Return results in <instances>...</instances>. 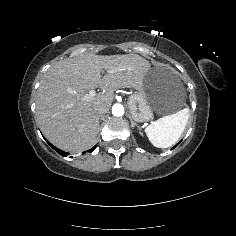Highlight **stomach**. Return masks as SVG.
Wrapping results in <instances>:
<instances>
[{"instance_id":"obj_1","label":"stomach","mask_w":236,"mask_h":236,"mask_svg":"<svg viewBox=\"0 0 236 236\" xmlns=\"http://www.w3.org/2000/svg\"><path fill=\"white\" fill-rule=\"evenodd\" d=\"M128 99L131 117L136 122L150 121L154 113L171 115L186 103V92L177 75L161 67L151 68Z\"/></svg>"}]
</instances>
